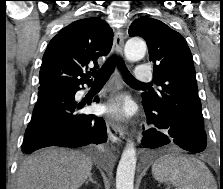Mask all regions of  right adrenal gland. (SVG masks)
<instances>
[{"mask_svg": "<svg viewBox=\"0 0 223 189\" xmlns=\"http://www.w3.org/2000/svg\"><path fill=\"white\" fill-rule=\"evenodd\" d=\"M89 182H92V183H94V184H97V182L93 180V178H92V174H91V173L89 174V176H88V180H87L85 183L88 184Z\"/></svg>", "mask_w": 223, "mask_h": 189, "instance_id": "right-adrenal-gland-1", "label": "right adrenal gland"}]
</instances>
